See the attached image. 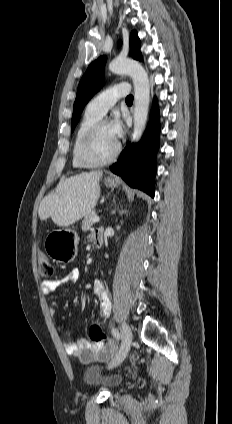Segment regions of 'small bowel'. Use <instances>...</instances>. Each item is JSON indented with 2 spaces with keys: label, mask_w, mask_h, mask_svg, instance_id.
<instances>
[{
  "label": "small bowel",
  "mask_w": 232,
  "mask_h": 424,
  "mask_svg": "<svg viewBox=\"0 0 232 424\" xmlns=\"http://www.w3.org/2000/svg\"><path fill=\"white\" fill-rule=\"evenodd\" d=\"M101 232H96L91 240L94 242L96 237L100 235ZM80 277V271L78 269H72L65 276L58 280H46L41 284L42 291L46 295L53 293L59 286L65 284H75ZM93 293L100 300L101 306L104 308L109 305V296L107 291L100 280H96L93 284ZM54 306V302L52 303ZM110 342L108 344L101 345L99 343H94L87 339H79L77 341H72L68 338H64L63 346L66 352L76 358L82 363H91L96 361H108L113 358L117 352V346L110 347Z\"/></svg>",
  "instance_id": "1"
}]
</instances>
